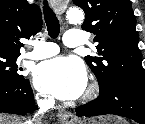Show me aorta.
<instances>
[{
    "mask_svg": "<svg viewBox=\"0 0 145 124\" xmlns=\"http://www.w3.org/2000/svg\"><path fill=\"white\" fill-rule=\"evenodd\" d=\"M67 19L72 23H79L84 19L82 11L79 9H69L67 11Z\"/></svg>",
    "mask_w": 145,
    "mask_h": 124,
    "instance_id": "762f6f07",
    "label": "aorta"
}]
</instances>
